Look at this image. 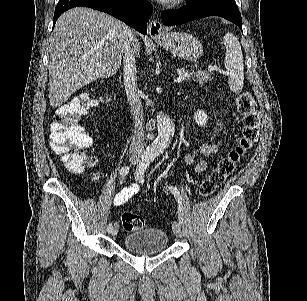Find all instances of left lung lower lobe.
I'll list each match as a JSON object with an SVG mask.
<instances>
[{
    "instance_id": "obj_1",
    "label": "left lung lower lobe",
    "mask_w": 307,
    "mask_h": 301,
    "mask_svg": "<svg viewBox=\"0 0 307 301\" xmlns=\"http://www.w3.org/2000/svg\"><path fill=\"white\" fill-rule=\"evenodd\" d=\"M208 16H220L234 24L242 31V18L236 3L227 0H204L187 4L179 10H167L162 13V22L166 26L180 25Z\"/></svg>"
}]
</instances>
